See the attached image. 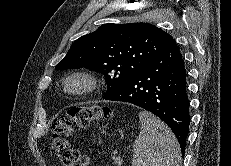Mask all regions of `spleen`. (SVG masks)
<instances>
[{
    "label": "spleen",
    "mask_w": 231,
    "mask_h": 166,
    "mask_svg": "<svg viewBox=\"0 0 231 166\" xmlns=\"http://www.w3.org/2000/svg\"><path fill=\"white\" fill-rule=\"evenodd\" d=\"M141 130L133 145L132 166H179L181 149L171 129L148 111L139 113Z\"/></svg>",
    "instance_id": "1"
}]
</instances>
